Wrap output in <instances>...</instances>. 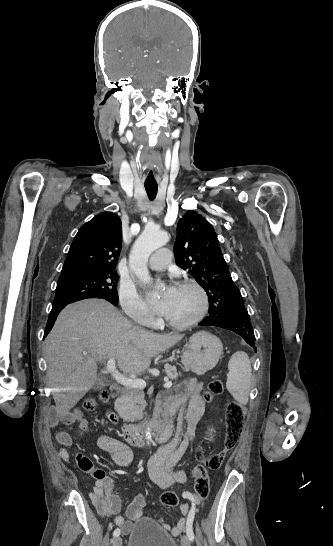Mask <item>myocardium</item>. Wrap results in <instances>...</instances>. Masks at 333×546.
<instances>
[{
	"mask_svg": "<svg viewBox=\"0 0 333 546\" xmlns=\"http://www.w3.org/2000/svg\"><path fill=\"white\" fill-rule=\"evenodd\" d=\"M178 287L192 288L198 293L200 297L199 309L197 313L195 314V316L191 318L190 320L185 322H176L165 317L166 324L170 326L171 328L178 329V330H185L197 325L206 316L209 310V296L206 290L204 289V287L194 279H184L178 284Z\"/></svg>",
	"mask_w": 333,
	"mask_h": 546,
	"instance_id": "myocardium-1",
	"label": "myocardium"
}]
</instances>
